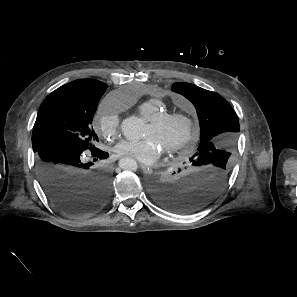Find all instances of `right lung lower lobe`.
<instances>
[{
  "label": "right lung lower lobe",
  "instance_id": "obj_1",
  "mask_svg": "<svg viewBox=\"0 0 297 297\" xmlns=\"http://www.w3.org/2000/svg\"><path fill=\"white\" fill-rule=\"evenodd\" d=\"M81 153L64 145L36 152V170L46 196L59 210L72 215L97 211L110 195V175L102 166L83 163ZM92 156L105 159L108 153L96 149Z\"/></svg>",
  "mask_w": 297,
  "mask_h": 297
}]
</instances>
